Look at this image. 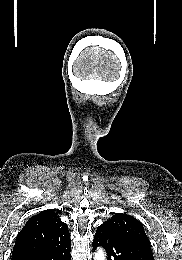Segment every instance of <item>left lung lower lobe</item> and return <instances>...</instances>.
Wrapping results in <instances>:
<instances>
[{
    "mask_svg": "<svg viewBox=\"0 0 182 260\" xmlns=\"http://www.w3.org/2000/svg\"><path fill=\"white\" fill-rule=\"evenodd\" d=\"M92 245L103 247L107 260H154L150 245L105 227H98Z\"/></svg>",
    "mask_w": 182,
    "mask_h": 260,
    "instance_id": "0a47b994",
    "label": "left lung lower lobe"
}]
</instances>
